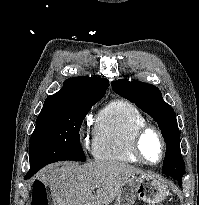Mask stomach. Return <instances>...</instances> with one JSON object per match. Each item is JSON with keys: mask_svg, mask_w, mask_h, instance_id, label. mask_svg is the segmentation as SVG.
<instances>
[{"mask_svg": "<svg viewBox=\"0 0 199 205\" xmlns=\"http://www.w3.org/2000/svg\"><path fill=\"white\" fill-rule=\"evenodd\" d=\"M166 195L167 188L160 180L146 174L136 175L124 181L113 205H133L137 199L159 205Z\"/></svg>", "mask_w": 199, "mask_h": 205, "instance_id": "0dacf381", "label": "stomach"}]
</instances>
